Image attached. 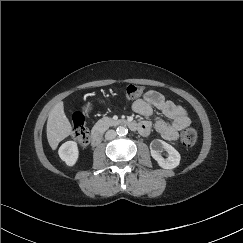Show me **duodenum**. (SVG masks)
Instances as JSON below:
<instances>
[{"label": "duodenum", "instance_id": "duodenum-1", "mask_svg": "<svg viewBox=\"0 0 243 243\" xmlns=\"http://www.w3.org/2000/svg\"><path fill=\"white\" fill-rule=\"evenodd\" d=\"M119 125L129 127L133 131H138V129L140 127V124L138 122L131 121V120H121V121H119ZM101 139H102L101 131L99 129L92 130L91 135H90V140H91L92 145L93 146L98 145L99 142L101 141Z\"/></svg>", "mask_w": 243, "mask_h": 243}]
</instances>
